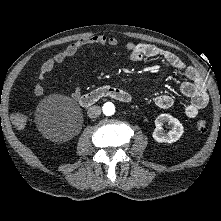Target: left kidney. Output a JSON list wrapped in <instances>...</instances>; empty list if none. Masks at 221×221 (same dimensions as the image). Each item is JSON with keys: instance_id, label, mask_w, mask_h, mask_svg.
Returning a JSON list of instances; mask_svg holds the SVG:
<instances>
[{"instance_id": "1", "label": "left kidney", "mask_w": 221, "mask_h": 221, "mask_svg": "<svg viewBox=\"0 0 221 221\" xmlns=\"http://www.w3.org/2000/svg\"><path fill=\"white\" fill-rule=\"evenodd\" d=\"M163 123H168L172 126V129L168 133L163 132ZM155 126L156 128L152 136L159 143L176 142L177 140H179L184 132L183 125L180 123V121L169 114H160L155 120Z\"/></svg>"}]
</instances>
